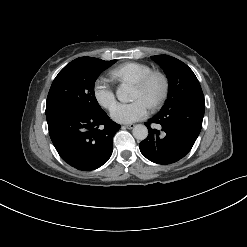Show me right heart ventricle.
Returning <instances> with one entry per match:
<instances>
[{
	"label": "right heart ventricle",
	"instance_id": "e07e8e85",
	"mask_svg": "<svg viewBox=\"0 0 247 247\" xmlns=\"http://www.w3.org/2000/svg\"><path fill=\"white\" fill-rule=\"evenodd\" d=\"M152 70L151 66L139 62L123 63L111 70V76L115 79H130L133 82L145 77Z\"/></svg>",
	"mask_w": 247,
	"mask_h": 247
}]
</instances>
